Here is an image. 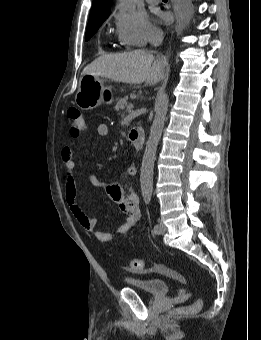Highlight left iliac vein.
Here are the masks:
<instances>
[{
    "label": "left iliac vein",
    "instance_id": "left-iliac-vein-1",
    "mask_svg": "<svg viewBox=\"0 0 261 340\" xmlns=\"http://www.w3.org/2000/svg\"><path fill=\"white\" fill-rule=\"evenodd\" d=\"M166 231H167V227H166L165 224L160 220V221H159V230L156 231L155 233H156V234L162 235V234H164Z\"/></svg>",
    "mask_w": 261,
    "mask_h": 340
}]
</instances>
